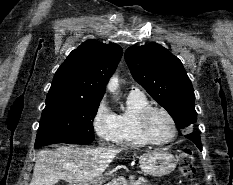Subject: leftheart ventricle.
Instances as JSON below:
<instances>
[{"mask_svg":"<svg viewBox=\"0 0 233 185\" xmlns=\"http://www.w3.org/2000/svg\"><path fill=\"white\" fill-rule=\"evenodd\" d=\"M148 130L156 140L167 139L172 133V125L169 118L160 111L151 113L148 119Z\"/></svg>","mask_w":233,"mask_h":185,"instance_id":"left-heart-ventricle-1","label":"left heart ventricle"}]
</instances>
